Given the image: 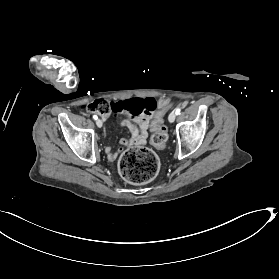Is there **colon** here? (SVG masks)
<instances>
[{
	"mask_svg": "<svg viewBox=\"0 0 279 279\" xmlns=\"http://www.w3.org/2000/svg\"><path fill=\"white\" fill-rule=\"evenodd\" d=\"M158 107L161 109L156 113L151 128L153 135L152 144L158 149H164L168 139L167 128L164 125V117L169 104L162 101L159 106L154 99H130L120 102H109L98 99L89 104L88 109L101 116L111 113H127L139 116L153 113ZM119 169L122 177L130 183L143 184L151 181L159 171V160L156 154L145 148H133L127 150L120 158Z\"/></svg>",
	"mask_w": 279,
	"mask_h": 279,
	"instance_id": "1",
	"label": "colon"
}]
</instances>
